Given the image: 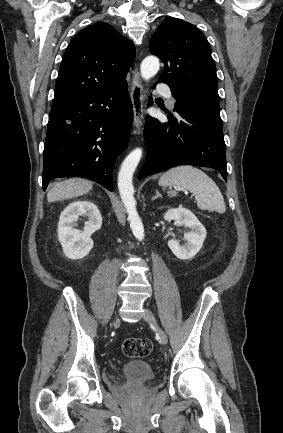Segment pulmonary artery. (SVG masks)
Returning <instances> with one entry per match:
<instances>
[{
	"label": "pulmonary artery",
	"mask_w": 283,
	"mask_h": 433,
	"mask_svg": "<svg viewBox=\"0 0 283 433\" xmlns=\"http://www.w3.org/2000/svg\"><path fill=\"white\" fill-rule=\"evenodd\" d=\"M155 89L159 96H165L170 107H174L176 103L175 97L172 95V90L167 87L166 83H157Z\"/></svg>",
	"instance_id": "e3ab8cb5"
}]
</instances>
